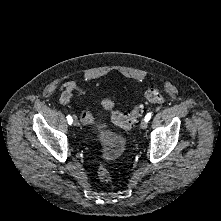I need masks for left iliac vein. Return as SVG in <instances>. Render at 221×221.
<instances>
[{
	"instance_id": "1",
	"label": "left iliac vein",
	"mask_w": 221,
	"mask_h": 221,
	"mask_svg": "<svg viewBox=\"0 0 221 221\" xmlns=\"http://www.w3.org/2000/svg\"><path fill=\"white\" fill-rule=\"evenodd\" d=\"M147 127H148V122L145 121V120H143V121L141 122V128H142V129H146Z\"/></svg>"
}]
</instances>
